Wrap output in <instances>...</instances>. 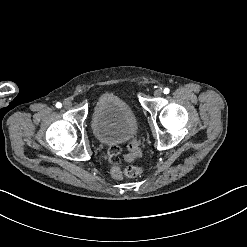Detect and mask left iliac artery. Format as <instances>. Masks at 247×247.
Listing matches in <instances>:
<instances>
[{"mask_svg": "<svg viewBox=\"0 0 247 247\" xmlns=\"http://www.w3.org/2000/svg\"><path fill=\"white\" fill-rule=\"evenodd\" d=\"M163 92H164V94H168L170 92V89L169 88H165Z\"/></svg>", "mask_w": 247, "mask_h": 247, "instance_id": "obj_1", "label": "left iliac artery"}]
</instances>
